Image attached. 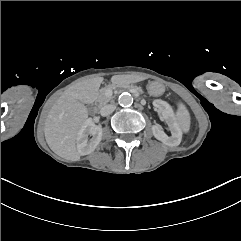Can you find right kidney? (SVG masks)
<instances>
[{"label": "right kidney", "instance_id": "obj_1", "mask_svg": "<svg viewBox=\"0 0 241 241\" xmlns=\"http://www.w3.org/2000/svg\"><path fill=\"white\" fill-rule=\"evenodd\" d=\"M89 136L92 139L89 140ZM102 139V127L96 125L92 119L87 120L77 135L78 151L81 155L92 153Z\"/></svg>", "mask_w": 241, "mask_h": 241}]
</instances>
